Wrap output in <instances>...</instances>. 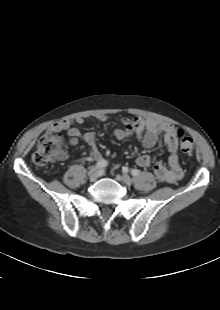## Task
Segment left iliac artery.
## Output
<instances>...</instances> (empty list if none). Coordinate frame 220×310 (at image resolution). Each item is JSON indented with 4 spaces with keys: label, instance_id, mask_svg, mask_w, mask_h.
<instances>
[{
    "label": "left iliac artery",
    "instance_id": "left-iliac-artery-1",
    "mask_svg": "<svg viewBox=\"0 0 220 310\" xmlns=\"http://www.w3.org/2000/svg\"><path fill=\"white\" fill-rule=\"evenodd\" d=\"M131 174H132L133 176H137V175L139 174V170H138V169H133V170L131 171Z\"/></svg>",
    "mask_w": 220,
    "mask_h": 310
}]
</instances>
